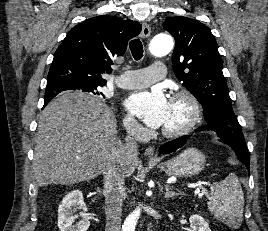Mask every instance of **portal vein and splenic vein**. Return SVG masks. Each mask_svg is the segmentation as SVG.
<instances>
[{
  "label": "portal vein and splenic vein",
  "instance_id": "portal-vein-and-splenic-vein-1",
  "mask_svg": "<svg viewBox=\"0 0 268 231\" xmlns=\"http://www.w3.org/2000/svg\"><path fill=\"white\" fill-rule=\"evenodd\" d=\"M189 187H195L194 185H189Z\"/></svg>",
  "mask_w": 268,
  "mask_h": 231
}]
</instances>
